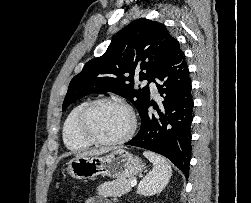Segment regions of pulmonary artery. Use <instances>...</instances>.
<instances>
[{
  "mask_svg": "<svg viewBox=\"0 0 251 203\" xmlns=\"http://www.w3.org/2000/svg\"><path fill=\"white\" fill-rule=\"evenodd\" d=\"M144 84H148L149 87H150V90L151 92L154 94V95H157V87L155 85V83L149 81V80H145L144 81Z\"/></svg>",
  "mask_w": 251,
  "mask_h": 203,
  "instance_id": "pulmonary-artery-1",
  "label": "pulmonary artery"
}]
</instances>
